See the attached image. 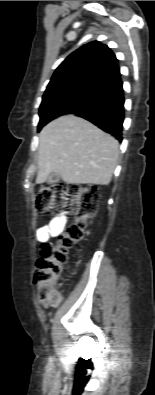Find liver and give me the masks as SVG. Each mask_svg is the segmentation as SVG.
Here are the masks:
<instances>
[{"mask_svg":"<svg viewBox=\"0 0 155 395\" xmlns=\"http://www.w3.org/2000/svg\"><path fill=\"white\" fill-rule=\"evenodd\" d=\"M119 143L87 120L66 115L39 134L36 183L51 173L70 184L108 185L117 166Z\"/></svg>","mask_w":155,"mask_h":395,"instance_id":"1","label":"liver"}]
</instances>
